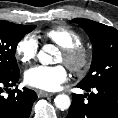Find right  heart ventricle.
I'll return each instance as SVG.
<instances>
[{"label": "right heart ventricle", "instance_id": "e07e8e85", "mask_svg": "<svg viewBox=\"0 0 118 118\" xmlns=\"http://www.w3.org/2000/svg\"><path fill=\"white\" fill-rule=\"evenodd\" d=\"M43 37L61 48L77 46L81 43L80 34L74 29L63 25L47 29L43 33Z\"/></svg>", "mask_w": 118, "mask_h": 118}]
</instances>
